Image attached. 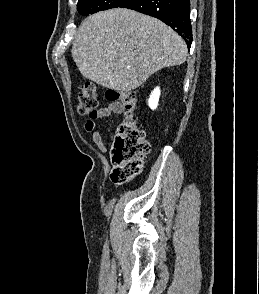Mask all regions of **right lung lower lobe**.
<instances>
[{"mask_svg": "<svg viewBox=\"0 0 259 294\" xmlns=\"http://www.w3.org/2000/svg\"><path fill=\"white\" fill-rule=\"evenodd\" d=\"M119 7L156 17L183 37L190 48L192 28L189 0H128Z\"/></svg>", "mask_w": 259, "mask_h": 294, "instance_id": "1", "label": "right lung lower lobe"}]
</instances>
